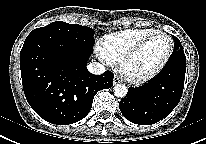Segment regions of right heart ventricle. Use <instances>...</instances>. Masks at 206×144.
<instances>
[{"label":"right heart ventricle","mask_w":206,"mask_h":144,"mask_svg":"<svg viewBox=\"0 0 206 144\" xmlns=\"http://www.w3.org/2000/svg\"><path fill=\"white\" fill-rule=\"evenodd\" d=\"M155 31L153 28H132L111 33L101 40L100 46L109 60L117 63L136 43Z\"/></svg>","instance_id":"right-heart-ventricle-1"}]
</instances>
